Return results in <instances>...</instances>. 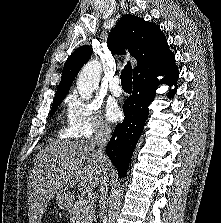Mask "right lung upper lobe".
I'll use <instances>...</instances> for the list:
<instances>
[{"instance_id": "cb5924a9", "label": "right lung upper lobe", "mask_w": 221, "mask_h": 223, "mask_svg": "<svg viewBox=\"0 0 221 223\" xmlns=\"http://www.w3.org/2000/svg\"><path fill=\"white\" fill-rule=\"evenodd\" d=\"M107 44L114 54H125L126 48L138 61L133 79L157 74L175 65V57L159 25L134 15H125L120 19L110 32ZM90 57L91 48L87 45L79 47L68 57L54 100L66 96L75 76Z\"/></svg>"}]
</instances>
